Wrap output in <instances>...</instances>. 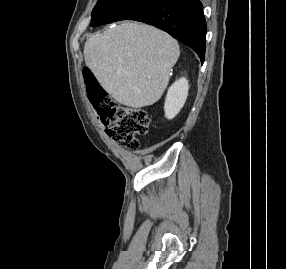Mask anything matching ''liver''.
<instances>
[{"instance_id": "obj_1", "label": "liver", "mask_w": 286, "mask_h": 269, "mask_svg": "<svg viewBox=\"0 0 286 269\" xmlns=\"http://www.w3.org/2000/svg\"><path fill=\"white\" fill-rule=\"evenodd\" d=\"M179 55V45L170 35L128 21L90 37L84 48L86 66L103 89L133 108L153 105L161 98Z\"/></svg>"}]
</instances>
